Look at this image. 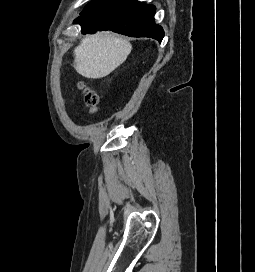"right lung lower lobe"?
Returning a JSON list of instances; mask_svg holds the SVG:
<instances>
[{"label": "right lung lower lobe", "instance_id": "1", "mask_svg": "<svg viewBox=\"0 0 255 272\" xmlns=\"http://www.w3.org/2000/svg\"><path fill=\"white\" fill-rule=\"evenodd\" d=\"M155 6L137 0H92L74 23L82 33L111 30L131 37H150L161 40L164 31L154 21Z\"/></svg>", "mask_w": 255, "mask_h": 272}]
</instances>
